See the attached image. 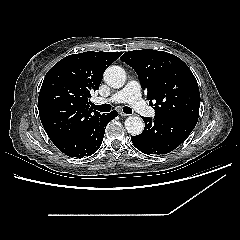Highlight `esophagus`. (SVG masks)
I'll use <instances>...</instances> for the list:
<instances>
[{
  "label": "esophagus",
  "instance_id": "esophagus-1",
  "mask_svg": "<svg viewBox=\"0 0 240 240\" xmlns=\"http://www.w3.org/2000/svg\"><path fill=\"white\" fill-rule=\"evenodd\" d=\"M119 115L122 116V117H127L128 114L124 113L123 111H119Z\"/></svg>",
  "mask_w": 240,
  "mask_h": 240
}]
</instances>
